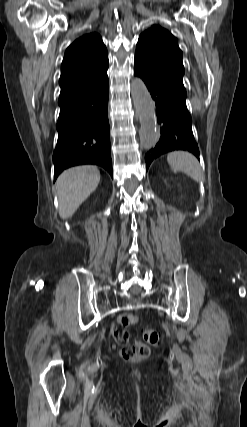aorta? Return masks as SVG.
Instances as JSON below:
<instances>
[{"label":"aorta","mask_w":247,"mask_h":427,"mask_svg":"<svg viewBox=\"0 0 247 427\" xmlns=\"http://www.w3.org/2000/svg\"><path fill=\"white\" fill-rule=\"evenodd\" d=\"M131 95L141 124L139 133L140 144L145 149H152L159 138L157 120L154 103L142 79H134L131 87Z\"/></svg>","instance_id":"obj_1"}]
</instances>
